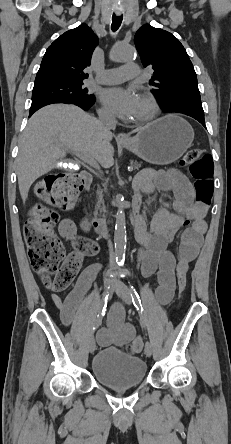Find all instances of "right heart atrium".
<instances>
[{
	"mask_svg": "<svg viewBox=\"0 0 231 444\" xmlns=\"http://www.w3.org/2000/svg\"><path fill=\"white\" fill-rule=\"evenodd\" d=\"M100 114L104 118H108V119L112 118L111 113L108 110L104 109V108L100 109Z\"/></svg>",
	"mask_w": 231,
	"mask_h": 444,
	"instance_id": "1",
	"label": "right heart atrium"
}]
</instances>
